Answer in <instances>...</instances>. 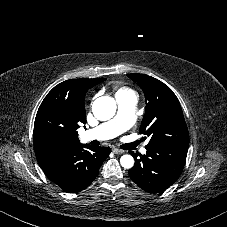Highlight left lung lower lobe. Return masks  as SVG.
Returning <instances> with one entry per match:
<instances>
[{"label":"left lung lower lobe","instance_id":"left-lung-lower-lobe-1","mask_svg":"<svg viewBox=\"0 0 227 227\" xmlns=\"http://www.w3.org/2000/svg\"><path fill=\"white\" fill-rule=\"evenodd\" d=\"M188 146V144L146 146V155L129 151L135 159V165L129 170L130 178L149 193L165 191L181 175Z\"/></svg>","mask_w":227,"mask_h":227}]
</instances>
